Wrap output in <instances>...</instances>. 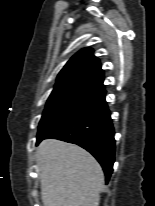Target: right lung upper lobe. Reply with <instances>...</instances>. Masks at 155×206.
Listing matches in <instances>:
<instances>
[{"mask_svg": "<svg viewBox=\"0 0 155 206\" xmlns=\"http://www.w3.org/2000/svg\"><path fill=\"white\" fill-rule=\"evenodd\" d=\"M100 61L89 47L78 51L60 71L54 90L89 88L106 93Z\"/></svg>", "mask_w": 155, "mask_h": 206, "instance_id": "1", "label": "right lung upper lobe"}]
</instances>
